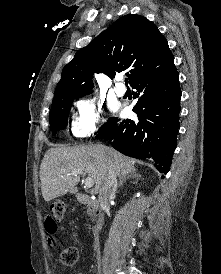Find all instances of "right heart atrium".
I'll list each match as a JSON object with an SVG mask.
<instances>
[{"label":"right heart atrium","mask_w":221,"mask_h":274,"mask_svg":"<svg viewBox=\"0 0 221 274\" xmlns=\"http://www.w3.org/2000/svg\"><path fill=\"white\" fill-rule=\"evenodd\" d=\"M103 107L94 98H82L76 102V114L72 122V133L76 137H86L102 125Z\"/></svg>","instance_id":"1"}]
</instances>
